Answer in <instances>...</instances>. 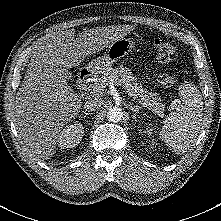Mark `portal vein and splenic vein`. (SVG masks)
Segmentation results:
<instances>
[{"mask_svg": "<svg viewBox=\"0 0 221 221\" xmlns=\"http://www.w3.org/2000/svg\"><path fill=\"white\" fill-rule=\"evenodd\" d=\"M114 82L117 85H120L119 80L117 78L114 79ZM89 92L92 93L93 95H97L103 91V86L102 85H92L89 87Z\"/></svg>", "mask_w": 221, "mask_h": 221, "instance_id": "obj_1", "label": "portal vein and splenic vein"}]
</instances>
